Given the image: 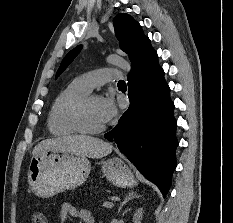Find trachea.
Returning <instances> with one entry per match:
<instances>
[{
  "instance_id": "3493384b",
  "label": "trachea",
  "mask_w": 233,
  "mask_h": 223,
  "mask_svg": "<svg viewBox=\"0 0 233 223\" xmlns=\"http://www.w3.org/2000/svg\"><path fill=\"white\" fill-rule=\"evenodd\" d=\"M118 85H125L124 80H119Z\"/></svg>"
}]
</instances>
